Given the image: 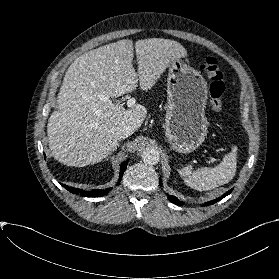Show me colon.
<instances>
[{"label": "colon", "mask_w": 279, "mask_h": 279, "mask_svg": "<svg viewBox=\"0 0 279 279\" xmlns=\"http://www.w3.org/2000/svg\"><path fill=\"white\" fill-rule=\"evenodd\" d=\"M200 69L210 82L209 101L211 109L214 112H220L223 108V94L225 91L222 69L214 57H207L201 64Z\"/></svg>", "instance_id": "colon-1"}]
</instances>
